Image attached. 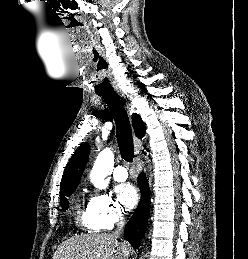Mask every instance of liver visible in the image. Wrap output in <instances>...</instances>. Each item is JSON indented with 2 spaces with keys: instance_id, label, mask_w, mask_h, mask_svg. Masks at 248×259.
<instances>
[{
  "instance_id": "6515ba94",
  "label": "liver",
  "mask_w": 248,
  "mask_h": 259,
  "mask_svg": "<svg viewBox=\"0 0 248 259\" xmlns=\"http://www.w3.org/2000/svg\"><path fill=\"white\" fill-rule=\"evenodd\" d=\"M114 234H85L72 237L57 248L53 259H128L131 247Z\"/></svg>"
}]
</instances>
